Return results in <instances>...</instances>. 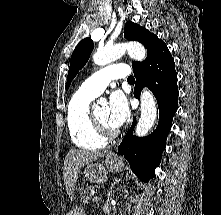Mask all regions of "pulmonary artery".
<instances>
[{"label":"pulmonary artery","mask_w":221,"mask_h":215,"mask_svg":"<svg viewBox=\"0 0 221 215\" xmlns=\"http://www.w3.org/2000/svg\"><path fill=\"white\" fill-rule=\"evenodd\" d=\"M130 75V68L126 64H115L105 67L88 79H86L80 89L83 92L98 96L110 81L119 78H126Z\"/></svg>","instance_id":"e3ab8cb5"}]
</instances>
